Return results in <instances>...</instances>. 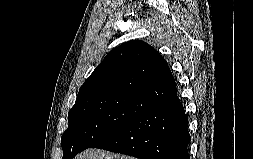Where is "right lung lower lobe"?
<instances>
[{
	"mask_svg": "<svg viewBox=\"0 0 253 159\" xmlns=\"http://www.w3.org/2000/svg\"><path fill=\"white\" fill-rule=\"evenodd\" d=\"M188 118L177 93L98 141L100 148L140 159H190Z\"/></svg>",
	"mask_w": 253,
	"mask_h": 159,
	"instance_id": "obj_1",
	"label": "right lung lower lobe"
}]
</instances>
